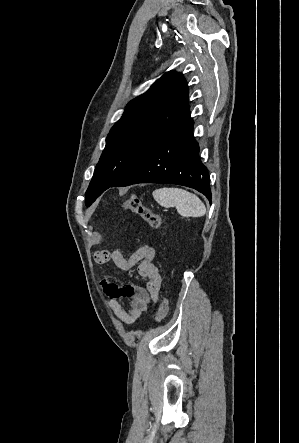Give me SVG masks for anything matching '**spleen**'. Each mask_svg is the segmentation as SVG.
<instances>
[{
  "instance_id": "obj_1",
  "label": "spleen",
  "mask_w": 299,
  "mask_h": 443,
  "mask_svg": "<svg viewBox=\"0 0 299 443\" xmlns=\"http://www.w3.org/2000/svg\"><path fill=\"white\" fill-rule=\"evenodd\" d=\"M153 197L163 207H176L183 217H202L206 214V207L198 196L184 189H156L153 191Z\"/></svg>"
}]
</instances>
